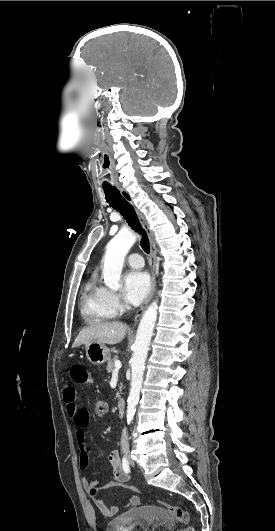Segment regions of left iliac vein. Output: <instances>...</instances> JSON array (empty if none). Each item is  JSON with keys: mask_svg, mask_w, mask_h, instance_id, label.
I'll use <instances>...</instances> for the list:
<instances>
[{"mask_svg": "<svg viewBox=\"0 0 275 531\" xmlns=\"http://www.w3.org/2000/svg\"><path fill=\"white\" fill-rule=\"evenodd\" d=\"M131 464H132V465H134V462H133V461H131Z\"/></svg>", "mask_w": 275, "mask_h": 531, "instance_id": "left-iliac-vein-1", "label": "left iliac vein"}]
</instances>
